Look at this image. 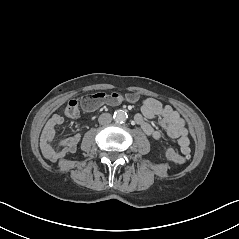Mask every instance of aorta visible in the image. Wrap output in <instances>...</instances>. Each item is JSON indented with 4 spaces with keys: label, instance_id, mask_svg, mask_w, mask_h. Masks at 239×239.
Here are the masks:
<instances>
[{
    "label": "aorta",
    "instance_id": "762f6f07",
    "mask_svg": "<svg viewBox=\"0 0 239 239\" xmlns=\"http://www.w3.org/2000/svg\"><path fill=\"white\" fill-rule=\"evenodd\" d=\"M113 118L118 123H124L127 120L128 115L125 111L118 110L114 112Z\"/></svg>",
    "mask_w": 239,
    "mask_h": 239
}]
</instances>
